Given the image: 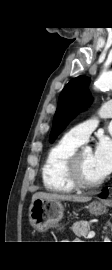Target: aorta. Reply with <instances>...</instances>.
<instances>
[{
	"label": "aorta",
	"instance_id": "obj_1",
	"mask_svg": "<svg viewBox=\"0 0 112 270\" xmlns=\"http://www.w3.org/2000/svg\"><path fill=\"white\" fill-rule=\"evenodd\" d=\"M94 87L100 90L112 89V71L101 74L97 81L94 83ZM85 150L90 151L91 149L86 147Z\"/></svg>",
	"mask_w": 112,
	"mask_h": 270
}]
</instances>
